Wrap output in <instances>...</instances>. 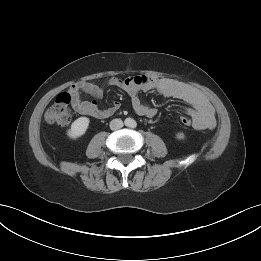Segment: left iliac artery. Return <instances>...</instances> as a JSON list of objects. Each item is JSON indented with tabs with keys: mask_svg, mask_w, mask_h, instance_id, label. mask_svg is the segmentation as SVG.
<instances>
[{
	"mask_svg": "<svg viewBox=\"0 0 261 261\" xmlns=\"http://www.w3.org/2000/svg\"><path fill=\"white\" fill-rule=\"evenodd\" d=\"M136 125H137L136 122H133V123H132V127H133V128L136 127Z\"/></svg>",
	"mask_w": 261,
	"mask_h": 261,
	"instance_id": "left-iliac-artery-1",
	"label": "left iliac artery"
}]
</instances>
